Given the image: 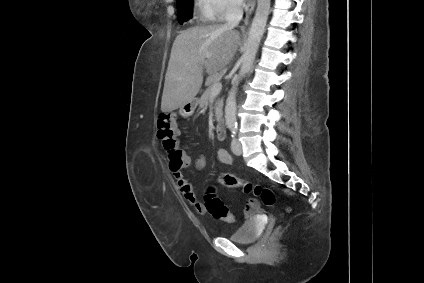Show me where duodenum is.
Masks as SVG:
<instances>
[{
  "label": "duodenum",
  "instance_id": "1",
  "mask_svg": "<svg viewBox=\"0 0 424 283\" xmlns=\"http://www.w3.org/2000/svg\"><path fill=\"white\" fill-rule=\"evenodd\" d=\"M224 129H225V121L221 117L218 119L215 127V133L218 139H223L224 137Z\"/></svg>",
  "mask_w": 424,
  "mask_h": 283
}]
</instances>
